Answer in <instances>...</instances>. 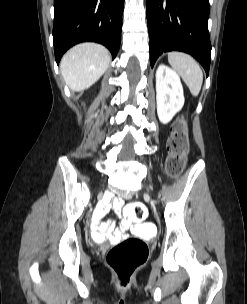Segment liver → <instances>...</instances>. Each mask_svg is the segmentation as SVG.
Wrapping results in <instances>:
<instances>
[{"instance_id": "1", "label": "liver", "mask_w": 247, "mask_h": 304, "mask_svg": "<svg viewBox=\"0 0 247 304\" xmlns=\"http://www.w3.org/2000/svg\"><path fill=\"white\" fill-rule=\"evenodd\" d=\"M110 61V53L103 45L82 43L65 53L60 70L70 89L81 91L89 88L104 74Z\"/></svg>"}]
</instances>
